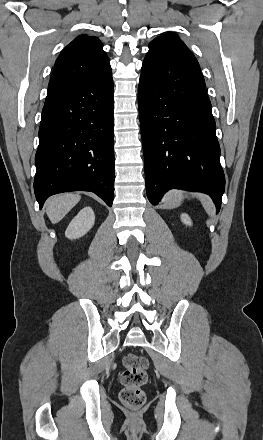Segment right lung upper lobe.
<instances>
[{"label": "right lung upper lobe", "instance_id": "obj_1", "mask_svg": "<svg viewBox=\"0 0 263 440\" xmlns=\"http://www.w3.org/2000/svg\"><path fill=\"white\" fill-rule=\"evenodd\" d=\"M111 73L109 58L97 37L82 35L68 44L56 60L47 96Z\"/></svg>", "mask_w": 263, "mask_h": 440}]
</instances>
